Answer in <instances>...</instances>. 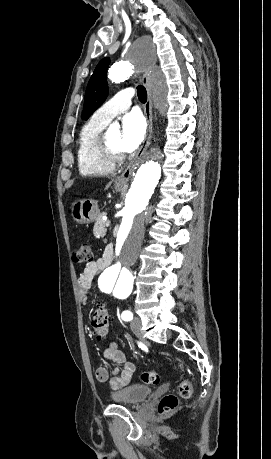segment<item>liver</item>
<instances>
[{"instance_id": "1", "label": "liver", "mask_w": 271, "mask_h": 459, "mask_svg": "<svg viewBox=\"0 0 271 459\" xmlns=\"http://www.w3.org/2000/svg\"><path fill=\"white\" fill-rule=\"evenodd\" d=\"M112 182H109V184H107L105 190H108L109 186H111Z\"/></svg>"}]
</instances>
